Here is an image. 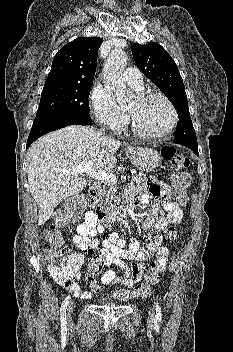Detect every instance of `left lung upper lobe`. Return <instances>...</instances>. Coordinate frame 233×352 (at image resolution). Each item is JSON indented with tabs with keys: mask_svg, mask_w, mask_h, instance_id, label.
I'll return each mask as SVG.
<instances>
[{
	"mask_svg": "<svg viewBox=\"0 0 233 352\" xmlns=\"http://www.w3.org/2000/svg\"><path fill=\"white\" fill-rule=\"evenodd\" d=\"M131 50L139 69L166 95L177 110L179 124L173 142H197L184 83L175 61L158 43H136L132 45Z\"/></svg>",
	"mask_w": 233,
	"mask_h": 352,
	"instance_id": "left-lung-upper-lobe-1",
	"label": "left lung upper lobe"
}]
</instances>
